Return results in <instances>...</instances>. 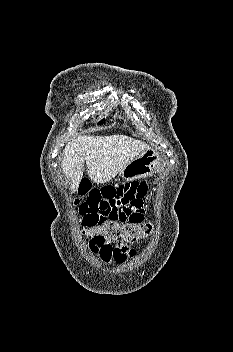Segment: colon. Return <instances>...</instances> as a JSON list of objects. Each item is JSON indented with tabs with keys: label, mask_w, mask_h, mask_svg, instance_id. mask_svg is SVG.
Masks as SVG:
<instances>
[{
	"label": "colon",
	"mask_w": 233,
	"mask_h": 352,
	"mask_svg": "<svg viewBox=\"0 0 233 352\" xmlns=\"http://www.w3.org/2000/svg\"><path fill=\"white\" fill-rule=\"evenodd\" d=\"M83 225V233L87 237L101 241L120 242L125 245L144 239L151 232V225L149 224L122 223L115 219L88 222Z\"/></svg>",
	"instance_id": "1"
}]
</instances>
